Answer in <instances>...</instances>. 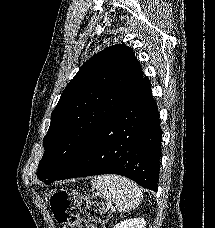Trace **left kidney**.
Masks as SVG:
<instances>
[{
	"instance_id": "obj_1",
	"label": "left kidney",
	"mask_w": 215,
	"mask_h": 228,
	"mask_svg": "<svg viewBox=\"0 0 215 228\" xmlns=\"http://www.w3.org/2000/svg\"><path fill=\"white\" fill-rule=\"evenodd\" d=\"M145 226L144 218H132V220H124L121 224H116L114 228H145Z\"/></svg>"
}]
</instances>
